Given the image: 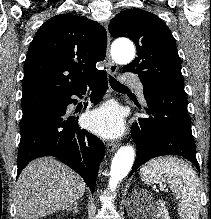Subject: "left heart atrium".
Returning a JSON list of instances; mask_svg holds the SVG:
<instances>
[{"mask_svg":"<svg viewBox=\"0 0 211 219\" xmlns=\"http://www.w3.org/2000/svg\"><path fill=\"white\" fill-rule=\"evenodd\" d=\"M86 125L90 130L106 138L119 136L124 128L119 111L110 105L88 114Z\"/></svg>","mask_w":211,"mask_h":219,"instance_id":"1","label":"left heart atrium"}]
</instances>
